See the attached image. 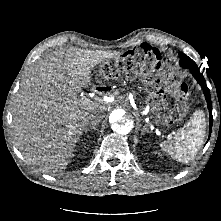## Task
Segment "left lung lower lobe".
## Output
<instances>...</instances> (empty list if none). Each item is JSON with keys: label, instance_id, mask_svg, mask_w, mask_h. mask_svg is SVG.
<instances>
[{"label": "left lung lower lobe", "instance_id": "0a47b994", "mask_svg": "<svg viewBox=\"0 0 221 221\" xmlns=\"http://www.w3.org/2000/svg\"><path fill=\"white\" fill-rule=\"evenodd\" d=\"M190 70H191V73L194 76V78L201 85L203 93L205 95V99L207 101L209 114H210V130H209V138H210L211 129H212V119H213L210 92H209L208 87L205 85V79H204L203 75L200 73L199 69L196 68V69H190ZM209 138H208V140H209Z\"/></svg>", "mask_w": 221, "mask_h": 221}]
</instances>
